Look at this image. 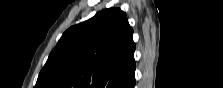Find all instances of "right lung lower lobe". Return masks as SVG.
<instances>
[{
  "label": "right lung lower lobe",
  "instance_id": "98d812e1",
  "mask_svg": "<svg viewBox=\"0 0 223 88\" xmlns=\"http://www.w3.org/2000/svg\"><path fill=\"white\" fill-rule=\"evenodd\" d=\"M135 85V79L133 80V82L128 86V88H134Z\"/></svg>",
  "mask_w": 223,
  "mask_h": 88
}]
</instances>
